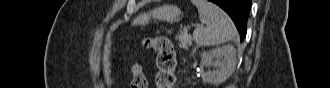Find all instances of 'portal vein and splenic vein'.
<instances>
[{
	"instance_id": "18ae733b",
	"label": "portal vein and splenic vein",
	"mask_w": 330,
	"mask_h": 88,
	"mask_svg": "<svg viewBox=\"0 0 330 88\" xmlns=\"http://www.w3.org/2000/svg\"><path fill=\"white\" fill-rule=\"evenodd\" d=\"M184 32H186V33L188 32V28L187 27L184 28Z\"/></svg>"
}]
</instances>
